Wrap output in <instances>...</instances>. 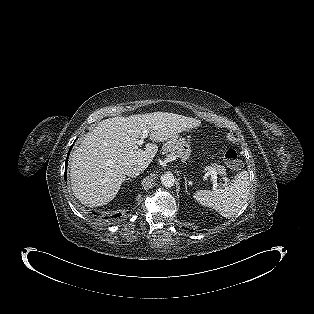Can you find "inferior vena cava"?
Masks as SVG:
<instances>
[{
	"instance_id": "obj_1",
	"label": "inferior vena cava",
	"mask_w": 314,
	"mask_h": 314,
	"mask_svg": "<svg viewBox=\"0 0 314 314\" xmlns=\"http://www.w3.org/2000/svg\"><path fill=\"white\" fill-rule=\"evenodd\" d=\"M145 169L144 166L142 165H139V164H130L126 167L125 169V174L127 176H130V177H136L138 176L143 170Z\"/></svg>"
}]
</instances>
